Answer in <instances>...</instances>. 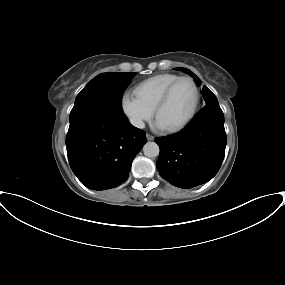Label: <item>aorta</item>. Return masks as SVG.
I'll return each instance as SVG.
<instances>
[{"label":"aorta","mask_w":285,"mask_h":285,"mask_svg":"<svg viewBox=\"0 0 285 285\" xmlns=\"http://www.w3.org/2000/svg\"><path fill=\"white\" fill-rule=\"evenodd\" d=\"M143 152L145 156L153 158L159 155L160 149L155 142H147L143 146Z\"/></svg>","instance_id":"762f6f07"}]
</instances>
